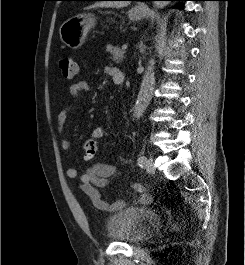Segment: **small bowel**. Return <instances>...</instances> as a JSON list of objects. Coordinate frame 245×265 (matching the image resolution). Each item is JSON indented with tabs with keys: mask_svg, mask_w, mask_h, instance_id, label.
<instances>
[{
	"mask_svg": "<svg viewBox=\"0 0 245 265\" xmlns=\"http://www.w3.org/2000/svg\"><path fill=\"white\" fill-rule=\"evenodd\" d=\"M105 73L110 76L116 83V80L124 78V74L116 67L107 66ZM91 87L88 82L79 80L71 85L70 94L73 98H79L81 94L89 92ZM77 104H71L62 109L57 116V127L60 132L63 131L68 114L75 110ZM106 135V130L103 126H96L91 131V139L88 141L97 142ZM61 147L64 150H69L71 142L68 139L63 138L61 140ZM66 175L69 178L76 179L79 182L80 190L87 195L93 206L101 211L116 212L125 207L124 200L118 199L112 203H109L102 199L101 190L107 189L115 180L121 177V173L116 169L114 165L98 162L87 168L83 172H79L74 167H69L66 170ZM132 189L138 194L135 198V202L139 204H148L152 201V196L147 191L146 187L140 183H133Z\"/></svg>",
	"mask_w": 245,
	"mask_h": 265,
	"instance_id": "small-bowel-1",
	"label": "small bowel"
}]
</instances>
